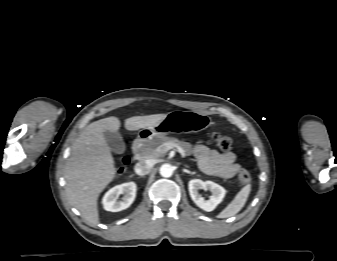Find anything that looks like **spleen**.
I'll use <instances>...</instances> for the list:
<instances>
[{
    "label": "spleen",
    "mask_w": 337,
    "mask_h": 261,
    "mask_svg": "<svg viewBox=\"0 0 337 261\" xmlns=\"http://www.w3.org/2000/svg\"><path fill=\"white\" fill-rule=\"evenodd\" d=\"M251 191V185L244 186L234 197V199L226 206V208L218 214V218H228L236 215L245 205Z\"/></svg>",
    "instance_id": "3e777b00"
}]
</instances>
